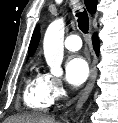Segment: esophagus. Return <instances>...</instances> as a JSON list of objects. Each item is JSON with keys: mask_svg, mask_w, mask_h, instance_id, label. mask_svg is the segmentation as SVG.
Instances as JSON below:
<instances>
[{"mask_svg": "<svg viewBox=\"0 0 118 123\" xmlns=\"http://www.w3.org/2000/svg\"><path fill=\"white\" fill-rule=\"evenodd\" d=\"M96 77H97L96 58H94L92 62V66H91L90 77H89L88 83L85 86V88L77 96V105H76L77 110L80 109L83 106V104L86 102V100L88 99L94 87Z\"/></svg>", "mask_w": 118, "mask_h": 123, "instance_id": "obj_1", "label": "esophagus"}]
</instances>
